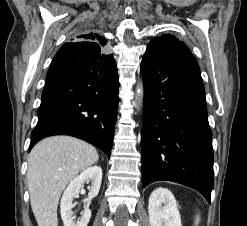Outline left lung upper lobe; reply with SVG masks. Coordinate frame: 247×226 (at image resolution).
<instances>
[{
  "label": "left lung upper lobe",
  "mask_w": 247,
  "mask_h": 226,
  "mask_svg": "<svg viewBox=\"0 0 247 226\" xmlns=\"http://www.w3.org/2000/svg\"><path fill=\"white\" fill-rule=\"evenodd\" d=\"M147 49H158L171 52H190L189 48L182 41L169 34L153 39Z\"/></svg>",
  "instance_id": "left-lung-upper-lobe-1"
}]
</instances>
